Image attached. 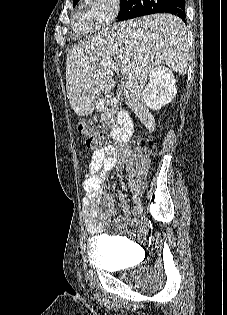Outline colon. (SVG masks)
<instances>
[{
    "instance_id": "1",
    "label": "colon",
    "mask_w": 227,
    "mask_h": 315,
    "mask_svg": "<svg viewBox=\"0 0 227 315\" xmlns=\"http://www.w3.org/2000/svg\"><path fill=\"white\" fill-rule=\"evenodd\" d=\"M77 129L79 134L86 138L88 147L98 148L104 144L105 136L92 120L80 118L77 122ZM140 144L148 152H152L154 149L153 143L148 140L141 139Z\"/></svg>"
}]
</instances>
